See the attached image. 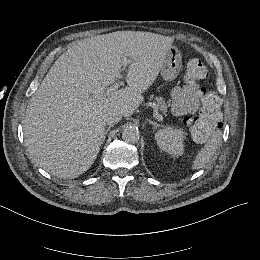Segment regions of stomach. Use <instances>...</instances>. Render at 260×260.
<instances>
[{"label": "stomach", "mask_w": 260, "mask_h": 260, "mask_svg": "<svg viewBox=\"0 0 260 260\" xmlns=\"http://www.w3.org/2000/svg\"><path fill=\"white\" fill-rule=\"evenodd\" d=\"M167 56L165 67L160 70V73L165 82H173L180 73L183 51L178 46H172L168 49Z\"/></svg>", "instance_id": "obj_1"}]
</instances>
